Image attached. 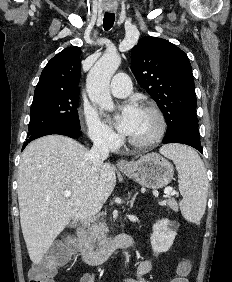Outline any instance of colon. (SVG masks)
I'll list each match as a JSON object with an SVG mask.
<instances>
[{
  "label": "colon",
  "instance_id": "5ec220e1",
  "mask_svg": "<svg viewBox=\"0 0 232 282\" xmlns=\"http://www.w3.org/2000/svg\"><path fill=\"white\" fill-rule=\"evenodd\" d=\"M71 254V249L63 244L53 247L48 255L35 263L29 272V282H54L57 268L64 266ZM189 264L183 261L179 265L178 276L171 282H188Z\"/></svg>",
  "mask_w": 232,
  "mask_h": 282
}]
</instances>
